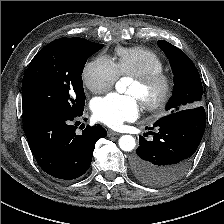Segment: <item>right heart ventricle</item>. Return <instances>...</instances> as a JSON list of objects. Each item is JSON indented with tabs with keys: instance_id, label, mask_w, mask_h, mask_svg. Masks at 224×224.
I'll return each mask as SVG.
<instances>
[{
	"instance_id": "obj_1",
	"label": "right heart ventricle",
	"mask_w": 224,
	"mask_h": 224,
	"mask_svg": "<svg viewBox=\"0 0 224 224\" xmlns=\"http://www.w3.org/2000/svg\"><path fill=\"white\" fill-rule=\"evenodd\" d=\"M113 62L122 76L138 77L164 68L161 57L142 47L117 49Z\"/></svg>"
}]
</instances>
